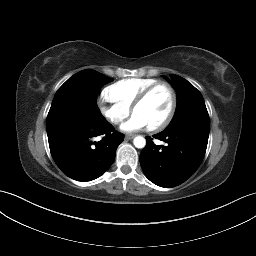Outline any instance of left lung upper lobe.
Returning <instances> with one entry per match:
<instances>
[{
    "label": "left lung upper lobe",
    "mask_w": 256,
    "mask_h": 256,
    "mask_svg": "<svg viewBox=\"0 0 256 256\" xmlns=\"http://www.w3.org/2000/svg\"><path fill=\"white\" fill-rule=\"evenodd\" d=\"M170 77L176 88L177 107L172 121L164 132L183 126L209 131V115L201 93L184 78L175 74H171Z\"/></svg>",
    "instance_id": "obj_1"
}]
</instances>
